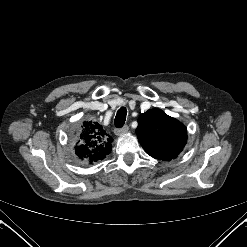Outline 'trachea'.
<instances>
[{
    "label": "trachea",
    "mask_w": 247,
    "mask_h": 247,
    "mask_svg": "<svg viewBox=\"0 0 247 247\" xmlns=\"http://www.w3.org/2000/svg\"><path fill=\"white\" fill-rule=\"evenodd\" d=\"M126 115H127V110L125 107H121L117 111V115L114 119V123H115V126L117 128L123 127V125L125 124V121H126Z\"/></svg>",
    "instance_id": "3493384b"
}]
</instances>
